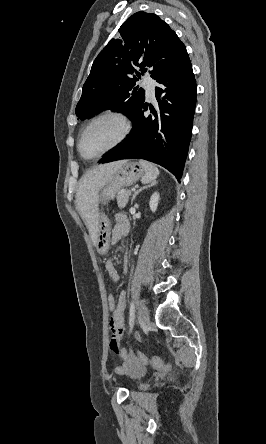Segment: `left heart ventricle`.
<instances>
[{"label": "left heart ventricle", "instance_id": "obj_1", "mask_svg": "<svg viewBox=\"0 0 266 444\" xmlns=\"http://www.w3.org/2000/svg\"><path fill=\"white\" fill-rule=\"evenodd\" d=\"M120 127L112 119L94 123L84 134L82 149L86 156L96 155L108 148L119 136Z\"/></svg>", "mask_w": 266, "mask_h": 444}]
</instances>
